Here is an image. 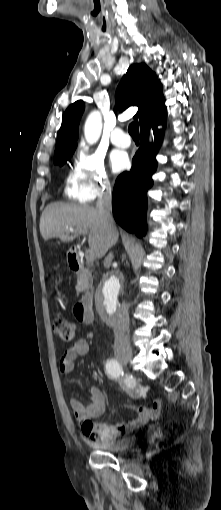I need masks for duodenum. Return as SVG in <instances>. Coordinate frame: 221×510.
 Wrapping results in <instances>:
<instances>
[{"label":"duodenum","mask_w":221,"mask_h":510,"mask_svg":"<svg viewBox=\"0 0 221 510\" xmlns=\"http://www.w3.org/2000/svg\"><path fill=\"white\" fill-rule=\"evenodd\" d=\"M70 268L72 271L82 275L87 281L91 278V270L84 266L75 248L69 251ZM91 290L87 288L84 297L76 304L75 314L85 324L94 321V314L91 309L92 304Z\"/></svg>","instance_id":"1"}]
</instances>
